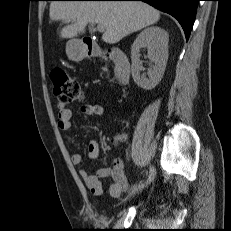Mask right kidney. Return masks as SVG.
Wrapping results in <instances>:
<instances>
[{
	"mask_svg": "<svg viewBox=\"0 0 231 231\" xmlns=\"http://www.w3.org/2000/svg\"><path fill=\"white\" fill-rule=\"evenodd\" d=\"M168 33L157 26L144 29L136 38L131 49V72L134 82L145 90L153 89L162 79L168 60ZM148 49V58L155 64L148 69V78L141 75L144 70L140 61V50Z\"/></svg>",
	"mask_w": 231,
	"mask_h": 231,
	"instance_id": "1",
	"label": "right kidney"
}]
</instances>
